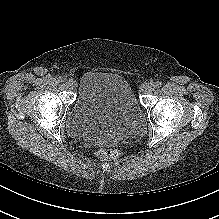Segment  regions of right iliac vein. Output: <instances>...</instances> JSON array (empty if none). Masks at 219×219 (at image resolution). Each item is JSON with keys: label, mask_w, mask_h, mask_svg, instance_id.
Here are the masks:
<instances>
[{"label": "right iliac vein", "mask_w": 219, "mask_h": 219, "mask_svg": "<svg viewBox=\"0 0 219 219\" xmlns=\"http://www.w3.org/2000/svg\"><path fill=\"white\" fill-rule=\"evenodd\" d=\"M64 85L70 89H74L76 87V81L74 79L65 80Z\"/></svg>", "instance_id": "63e3f726"}]
</instances>
